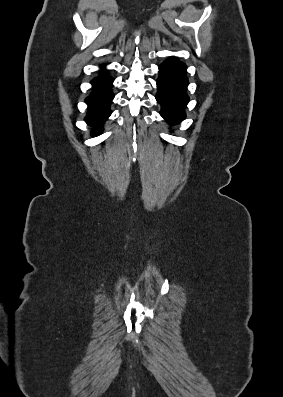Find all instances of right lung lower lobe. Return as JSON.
<instances>
[{
    "instance_id": "98d812e1",
    "label": "right lung lower lobe",
    "mask_w": 283,
    "mask_h": 397,
    "mask_svg": "<svg viewBox=\"0 0 283 397\" xmlns=\"http://www.w3.org/2000/svg\"><path fill=\"white\" fill-rule=\"evenodd\" d=\"M105 64L101 65L104 67ZM113 79L100 75L92 80L94 91L85 98L88 104V110L84 120L88 125L93 127L92 135H99L103 130V123L111 115L110 102L114 98L112 90H110Z\"/></svg>"
}]
</instances>
